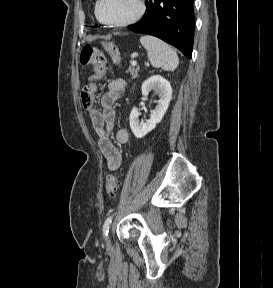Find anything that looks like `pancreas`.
Here are the masks:
<instances>
[{"instance_id": "obj_1", "label": "pancreas", "mask_w": 273, "mask_h": 288, "mask_svg": "<svg viewBox=\"0 0 273 288\" xmlns=\"http://www.w3.org/2000/svg\"><path fill=\"white\" fill-rule=\"evenodd\" d=\"M138 71L139 69L138 68H135V67H130L127 72H130L131 75H132V78H136L138 76Z\"/></svg>"}]
</instances>
